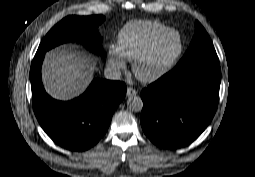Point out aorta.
I'll list each match as a JSON object with an SVG mask.
<instances>
[{
    "instance_id": "aorta-1",
    "label": "aorta",
    "mask_w": 255,
    "mask_h": 177,
    "mask_svg": "<svg viewBox=\"0 0 255 177\" xmlns=\"http://www.w3.org/2000/svg\"><path fill=\"white\" fill-rule=\"evenodd\" d=\"M127 107L130 111L140 112L143 108V101L138 96L129 97L127 100Z\"/></svg>"
}]
</instances>
